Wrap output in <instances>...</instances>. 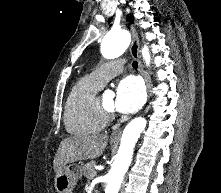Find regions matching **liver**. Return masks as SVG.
<instances>
[{"label":"liver","instance_id":"obj_1","mask_svg":"<svg viewBox=\"0 0 221 193\" xmlns=\"http://www.w3.org/2000/svg\"><path fill=\"white\" fill-rule=\"evenodd\" d=\"M107 141L108 136L103 134L76 135L62 140L53 161L54 171L79 160L101 156Z\"/></svg>","mask_w":221,"mask_h":193}]
</instances>
